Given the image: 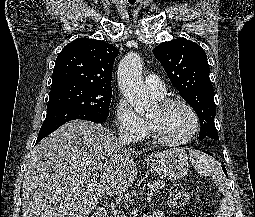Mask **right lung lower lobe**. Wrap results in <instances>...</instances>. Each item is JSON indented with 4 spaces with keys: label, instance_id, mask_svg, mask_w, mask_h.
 Here are the masks:
<instances>
[{
    "label": "right lung lower lobe",
    "instance_id": "98d812e1",
    "mask_svg": "<svg viewBox=\"0 0 255 217\" xmlns=\"http://www.w3.org/2000/svg\"><path fill=\"white\" fill-rule=\"evenodd\" d=\"M75 119L88 120L96 123H102L105 121V119L97 117L88 112L62 107L53 108L47 110V115L39 131L36 144L64 123Z\"/></svg>",
    "mask_w": 255,
    "mask_h": 217
}]
</instances>
